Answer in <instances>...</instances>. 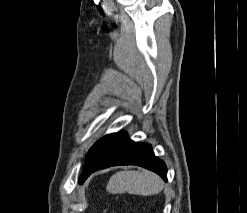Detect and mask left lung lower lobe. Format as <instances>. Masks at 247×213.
Instances as JSON below:
<instances>
[{"instance_id": "obj_1", "label": "left lung lower lobe", "mask_w": 247, "mask_h": 213, "mask_svg": "<svg viewBox=\"0 0 247 213\" xmlns=\"http://www.w3.org/2000/svg\"><path fill=\"white\" fill-rule=\"evenodd\" d=\"M85 160L80 176L82 183L91 173L116 165H138L159 174L167 181L166 165L154 155L151 145L134 142L124 132L109 134L100 139Z\"/></svg>"}]
</instances>
